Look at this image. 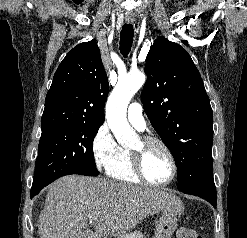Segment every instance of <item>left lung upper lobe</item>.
<instances>
[{
    "mask_svg": "<svg viewBox=\"0 0 247 238\" xmlns=\"http://www.w3.org/2000/svg\"><path fill=\"white\" fill-rule=\"evenodd\" d=\"M145 71L141 100L175 159L180 190L213 180V113L190 55L179 44L159 37L147 55Z\"/></svg>",
    "mask_w": 247,
    "mask_h": 238,
    "instance_id": "obj_1",
    "label": "left lung upper lobe"
}]
</instances>
